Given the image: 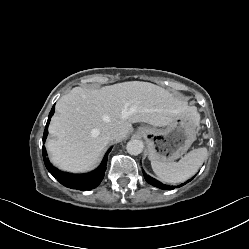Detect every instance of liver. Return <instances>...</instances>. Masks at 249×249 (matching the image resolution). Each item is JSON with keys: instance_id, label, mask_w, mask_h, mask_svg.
Here are the masks:
<instances>
[{"instance_id": "obj_1", "label": "liver", "mask_w": 249, "mask_h": 249, "mask_svg": "<svg viewBox=\"0 0 249 249\" xmlns=\"http://www.w3.org/2000/svg\"><path fill=\"white\" fill-rule=\"evenodd\" d=\"M188 112H197L196 107L149 82L129 81L100 89L75 87L56 103L49 126L52 138L46 148L51 162L61 170L89 171L110 141L104 137L107 129H115V140L120 141L132 131V123L164 127Z\"/></svg>"}]
</instances>
